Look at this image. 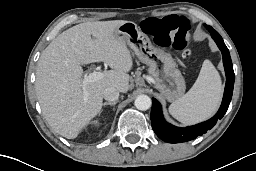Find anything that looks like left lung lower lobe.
Masks as SVG:
<instances>
[{"instance_id": "obj_1", "label": "left lung lower lobe", "mask_w": 256, "mask_h": 171, "mask_svg": "<svg viewBox=\"0 0 256 171\" xmlns=\"http://www.w3.org/2000/svg\"><path fill=\"white\" fill-rule=\"evenodd\" d=\"M207 30L211 33L212 38L218 45L219 49L222 52L223 56V64L226 73V85L223 96V101L220 109L215 114L214 117L209 119L206 122L188 126L185 128H180L173 126L165 121L162 114V107L160 103L152 98V109H151V124L156 135L161 138L163 141L168 143H181L195 139L197 136H200L207 132V130L211 129L216 122L221 119L226 113L233 93L234 87V71L232 66L231 57L229 54V50L224 44V41L220 34L214 30L211 26L205 25Z\"/></svg>"}]
</instances>
